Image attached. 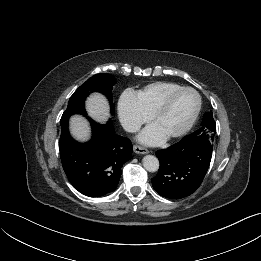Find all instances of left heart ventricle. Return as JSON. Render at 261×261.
<instances>
[{
	"instance_id": "obj_1",
	"label": "left heart ventricle",
	"mask_w": 261,
	"mask_h": 261,
	"mask_svg": "<svg viewBox=\"0 0 261 261\" xmlns=\"http://www.w3.org/2000/svg\"><path fill=\"white\" fill-rule=\"evenodd\" d=\"M197 105L193 92H183L172 99L168 108L153 123L165 136L182 129Z\"/></svg>"
}]
</instances>
